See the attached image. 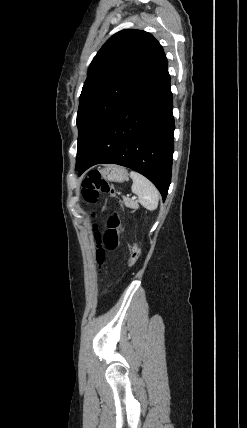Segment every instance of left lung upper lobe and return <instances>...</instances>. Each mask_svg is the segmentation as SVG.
<instances>
[{
    "label": "left lung upper lobe",
    "mask_w": 247,
    "mask_h": 428,
    "mask_svg": "<svg viewBox=\"0 0 247 428\" xmlns=\"http://www.w3.org/2000/svg\"><path fill=\"white\" fill-rule=\"evenodd\" d=\"M167 64L162 46L148 32L122 30L106 41L89 67L80 95L76 164L85 160L119 106Z\"/></svg>",
    "instance_id": "1"
}]
</instances>
